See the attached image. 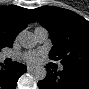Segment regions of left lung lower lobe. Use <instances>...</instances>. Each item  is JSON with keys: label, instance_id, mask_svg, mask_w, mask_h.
Listing matches in <instances>:
<instances>
[{"label": "left lung lower lobe", "instance_id": "obj_1", "mask_svg": "<svg viewBox=\"0 0 89 89\" xmlns=\"http://www.w3.org/2000/svg\"><path fill=\"white\" fill-rule=\"evenodd\" d=\"M40 89H89L88 68H65L52 71L47 68L46 77L38 82Z\"/></svg>", "mask_w": 89, "mask_h": 89}]
</instances>
